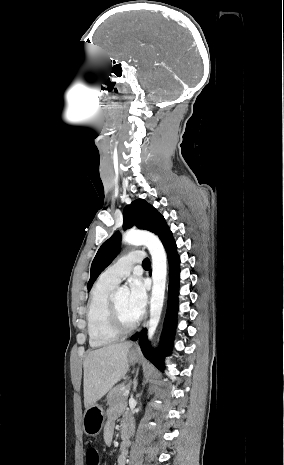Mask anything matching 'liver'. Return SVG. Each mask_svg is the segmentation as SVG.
<instances>
[{
  "mask_svg": "<svg viewBox=\"0 0 284 465\" xmlns=\"http://www.w3.org/2000/svg\"><path fill=\"white\" fill-rule=\"evenodd\" d=\"M132 343H110L87 353L84 363V407L89 409L125 377Z\"/></svg>",
  "mask_w": 284,
  "mask_h": 465,
  "instance_id": "6515ba94",
  "label": "liver"
}]
</instances>
